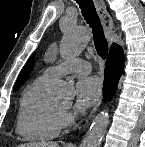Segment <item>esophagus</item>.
I'll return each instance as SVG.
<instances>
[{
	"label": "esophagus",
	"mask_w": 145,
	"mask_h": 147,
	"mask_svg": "<svg viewBox=\"0 0 145 147\" xmlns=\"http://www.w3.org/2000/svg\"><path fill=\"white\" fill-rule=\"evenodd\" d=\"M93 1H94L96 11H97V13H98V15H99V17H100V19L102 21L104 31H105V34H106V36L108 38V41H109L110 44H112V35L114 33L113 19L110 16V14L108 13V11L106 9V6H105V2L103 0H93ZM101 103H102V98H100L97 101V103L95 104V106L91 110L88 118L86 119V124L94 116V114L96 113V111L100 107Z\"/></svg>",
	"instance_id": "1"
}]
</instances>
